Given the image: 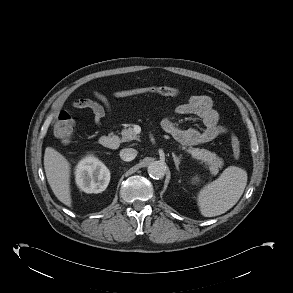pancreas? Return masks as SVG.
<instances>
[{
    "instance_id": "cf45deb5",
    "label": "pancreas",
    "mask_w": 293,
    "mask_h": 293,
    "mask_svg": "<svg viewBox=\"0 0 293 293\" xmlns=\"http://www.w3.org/2000/svg\"><path fill=\"white\" fill-rule=\"evenodd\" d=\"M122 141L128 142L131 140H138V136L132 127L122 130ZM194 159L200 160L209 169L212 175H216L219 172V168L223 166V160L219 158L214 152H210L206 149H199L193 147H181Z\"/></svg>"
}]
</instances>
